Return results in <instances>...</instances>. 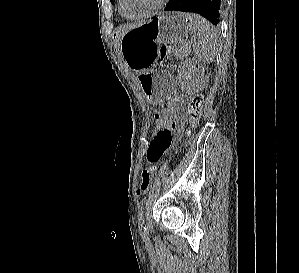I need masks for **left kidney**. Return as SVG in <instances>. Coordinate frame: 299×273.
<instances>
[{
    "label": "left kidney",
    "mask_w": 299,
    "mask_h": 273,
    "mask_svg": "<svg viewBox=\"0 0 299 273\" xmlns=\"http://www.w3.org/2000/svg\"><path fill=\"white\" fill-rule=\"evenodd\" d=\"M204 67L195 59H186L177 71L178 83L187 94L198 93L205 87Z\"/></svg>",
    "instance_id": "1"
}]
</instances>
